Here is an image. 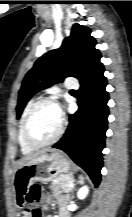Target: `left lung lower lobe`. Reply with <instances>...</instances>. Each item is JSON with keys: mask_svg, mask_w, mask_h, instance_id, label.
Instances as JSON below:
<instances>
[{"mask_svg": "<svg viewBox=\"0 0 132 217\" xmlns=\"http://www.w3.org/2000/svg\"><path fill=\"white\" fill-rule=\"evenodd\" d=\"M107 80L100 64L81 82L79 109L69 116V126L64 136L53 147L66 152L90 176L95 186L101 179L102 150L105 147L109 95L105 90Z\"/></svg>", "mask_w": 132, "mask_h": 217, "instance_id": "0a47b994", "label": "left lung lower lobe"}]
</instances>
